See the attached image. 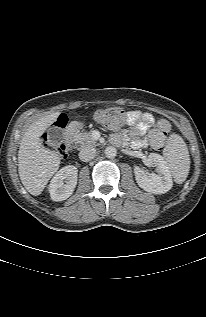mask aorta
<instances>
[{
  "instance_id": "762f6f07",
  "label": "aorta",
  "mask_w": 206,
  "mask_h": 317,
  "mask_svg": "<svg viewBox=\"0 0 206 317\" xmlns=\"http://www.w3.org/2000/svg\"><path fill=\"white\" fill-rule=\"evenodd\" d=\"M104 153L107 158H114L117 155V149L113 146H108L105 148Z\"/></svg>"
}]
</instances>
